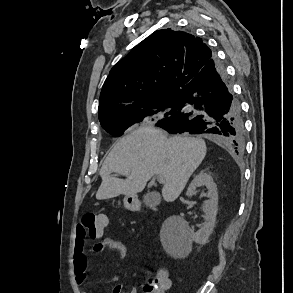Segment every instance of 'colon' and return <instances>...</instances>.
I'll list each match as a JSON object with an SVG mask.
<instances>
[{
  "label": "colon",
  "mask_w": 293,
  "mask_h": 293,
  "mask_svg": "<svg viewBox=\"0 0 293 293\" xmlns=\"http://www.w3.org/2000/svg\"><path fill=\"white\" fill-rule=\"evenodd\" d=\"M107 225V216L104 214L86 213L82 217L81 228L84 235L91 239H99ZM167 272L161 270L156 276L150 277L144 286V293H166L168 290Z\"/></svg>",
  "instance_id": "5ec220e1"
}]
</instances>
